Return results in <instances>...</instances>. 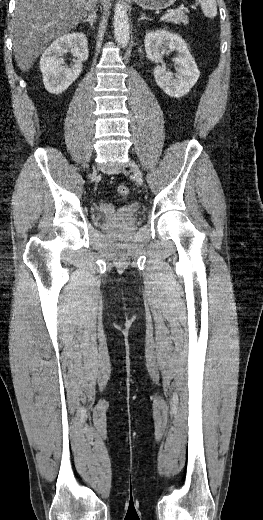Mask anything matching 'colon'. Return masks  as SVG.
<instances>
[{
    "label": "colon",
    "instance_id": "obj_1",
    "mask_svg": "<svg viewBox=\"0 0 263 520\" xmlns=\"http://www.w3.org/2000/svg\"><path fill=\"white\" fill-rule=\"evenodd\" d=\"M116 192L120 198H126L129 194V188L125 185H120V186H118Z\"/></svg>",
    "mask_w": 263,
    "mask_h": 520
}]
</instances>
